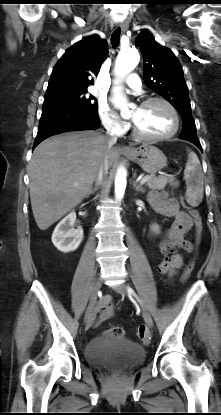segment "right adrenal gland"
Returning a JSON list of instances; mask_svg holds the SVG:
<instances>
[{"label": "right adrenal gland", "mask_w": 221, "mask_h": 415, "mask_svg": "<svg viewBox=\"0 0 221 415\" xmlns=\"http://www.w3.org/2000/svg\"><path fill=\"white\" fill-rule=\"evenodd\" d=\"M98 190V184H95V187L90 190L89 195L94 194Z\"/></svg>", "instance_id": "2a0ac1e0"}]
</instances>
